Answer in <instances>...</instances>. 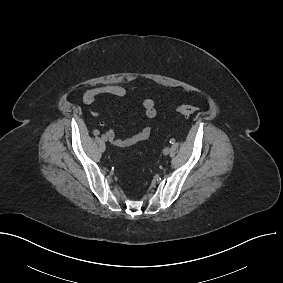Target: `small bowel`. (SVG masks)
Wrapping results in <instances>:
<instances>
[{
	"label": "small bowel",
	"instance_id": "small-bowel-1",
	"mask_svg": "<svg viewBox=\"0 0 283 283\" xmlns=\"http://www.w3.org/2000/svg\"><path fill=\"white\" fill-rule=\"evenodd\" d=\"M103 95H110L117 98H122L126 95V90L119 85H104L94 88L87 89L83 94V102L86 105L93 104L96 99ZM143 109L147 118L153 119L157 115V109L155 102L151 98H146L143 100ZM93 115H97V111H92ZM107 136L115 146L120 148H126L133 146L137 143L147 140L151 135V128L149 126H144L140 131L133 134L132 136L126 138H117L113 130L107 131Z\"/></svg>",
	"mask_w": 283,
	"mask_h": 283
}]
</instances>
